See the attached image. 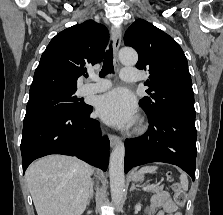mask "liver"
Returning <instances> with one entry per match:
<instances>
[{
    "instance_id": "liver-1",
    "label": "liver",
    "mask_w": 223,
    "mask_h": 215,
    "mask_svg": "<svg viewBox=\"0 0 223 215\" xmlns=\"http://www.w3.org/2000/svg\"><path fill=\"white\" fill-rule=\"evenodd\" d=\"M94 169L69 155H46L25 171L38 215H81Z\"/></svg>"
}]
</instances>
